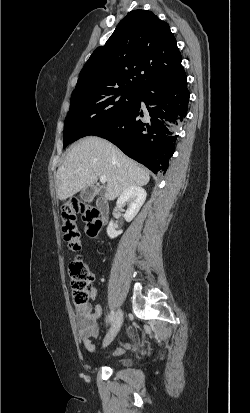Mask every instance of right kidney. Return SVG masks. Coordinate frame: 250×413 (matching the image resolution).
<instances>
[{
  "label": "right kidney",
  "mask_w": 250,
  "mask_h": 413,
  "mask_svg": "<svg viewBox=\"0 0 250 413\" xmlns=\"http://www.w3.org/2000/svg\"><path fill=\"white\" fill-rule=\"evenodd\" d=\"M146 191L139 187V186H133L127 188L117 199L116 202V210H119L124 206L126 203H129V208L126 210L125 214L123 215L124 219L127 222H131L137 213L139 212L140 208L144 204L146 200ZM122 233V230H116L115 226L113 224V221L111 220L108 227H107V234L108 236L113 239L120 235Z\"/></svg>",
  "instance_id": "obj_1"
}]
</instances>
